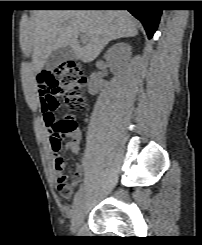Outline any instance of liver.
<instances>
[{
	"label": "liver",
	"mask_w": 202,
	"mask_h": 245,
	"mask_svg": "<svg viewBox=\"0 0 202 245\" xmlns=\"http://www.w3.org/2000/svg\"><path fill=\"white\" fill-rule=\"evenodd\" d=\"M85 34L82 47L78 35ZM138 34L137 21L125 10H36L20 34L21 48L32 54L37 72L49 55L70 47L77 59L88 63L112 40Z\"/></svg>",
	"instance_id": "6515ba94"
}]
</instances>
